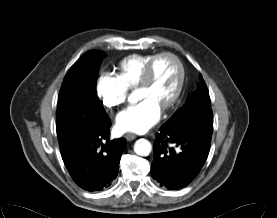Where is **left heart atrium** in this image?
<instances>
[{
  "instance_id": "39dd6f15",
  "label": "left heart atrium",
  "mask_w": 277,
  "mask_h": 218,
  "mask_svg": "<svg viewBox=\"0 0 277 218\" xmlns=\"http://www.w3.org/2000/svg\"><path fill=\"white\" fill-rule=\"evenodd\" d=\"M160 118V106L150 98H144L121 111L116 118L119 131L142 132L152 127Z\"/></svg>"
}]
</instances>
